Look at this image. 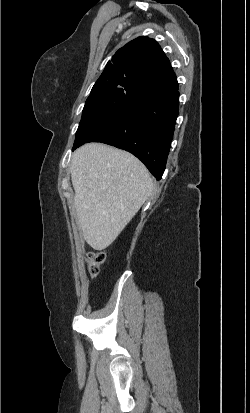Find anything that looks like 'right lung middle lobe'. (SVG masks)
Returning a JSON list of instances; mask_svg holds the SVG:
<instances>
[{"label":"right lung middle lobe","mask_w":250,"mask_h":413,"mask_svg":"<svg viewBox=\"0 0 250 413\" xmlns=\"http://www.w3.org/2000/svg\"><path fill=\"white\" fill-rule=\"evenodd\" d=\"M139 96H141L139 92L131 89L119 87L92 88L83 109L72 150L83 145L104 129L117 117L129 101Z\"/></svg>","instance_id":"1"}]
</instances>
